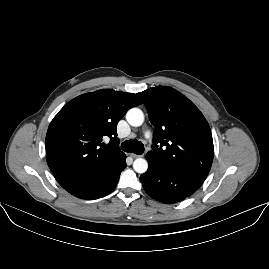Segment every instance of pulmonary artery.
Returning <instances> with one entry per match:
<instances>
[{
    "mask_svg": "<svg viewBox=\"0 0 269 269\" xmlns=\"http://www.w3.org/2000/svg\"><path fill=\"white\" fill-rule=\"evenodd\" d=\"M145 136H146V138L150 139L151 134H150L149 132H147V133L145 134Z\"/></svg>",
    "mask_w": 269,
    "mask_h": 269,
    "instance_id": "obj_1",
    "label": "pulmonary artery"
}]
</instances>
